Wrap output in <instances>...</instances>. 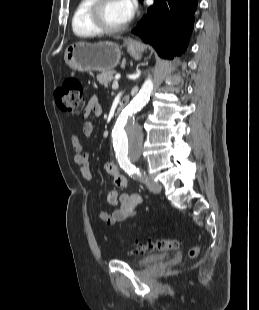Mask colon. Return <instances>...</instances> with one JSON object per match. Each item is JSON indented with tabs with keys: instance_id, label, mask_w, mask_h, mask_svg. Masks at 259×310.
Listing matches in <instances>:
<instances>
[{
	"instance_id": "1",
	"label": "colon",
	"mask_w": 259,
	"mask_h": 310,
	"mask_svg": "<svg viewBox=\"0 0 259 310\" xmlns=\"http://www.w3.org/2000/svg\"><path fill=\"white\" fill-rule=\"evenodd\" d=\"M56 104L65 113L79 114L84 110V97L81 82L76 78H67L55 93ZM182 245L178 239H164L158 241L141 242L133 244L135 254L144 255L155 252L176 250ZM198 247L190 248L188 255L195 258L198 255Z\"/></svg>"
}]
</instances>
